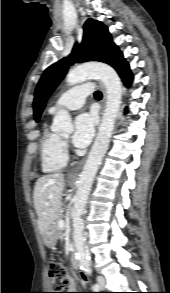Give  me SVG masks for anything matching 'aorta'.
Instances as JSON below:
<instances>
[{
	"instance_id": "aorta-1",
	"label": "aorta",
	"mask_w": 170,
	"mask_h": 293,
	"mask_svg": "<svg viewBox=\"0 0 170 293\" xmlns=\"http://www.w3.org/2000/svg\"><path fill=\"white\" fill-rule=\"evenodd\" d=\"M88 77H96L103 82L106 89L107 100L96 140L79 176L78 189L74 199L72 213L73 239L77 260L81 268H88L90 265L89 257L85 249V238L83 235L84 222L82 215L85 212V206L96 172L108 148L122 100V85L119 76L108 64L88 63L78 66L68 72L66 81L68 85H75L85 81ZM52 130L55 132L72 133L73 126L71 116L67 111L60 110L56 114L53 120Z\"/></svg>"
}]
</instances>
